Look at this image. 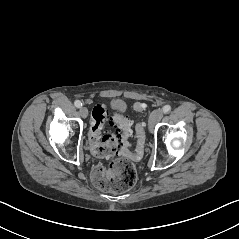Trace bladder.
<instances>
[{"label":"bladder","mask_w":239,"mask_h":239,"mask_svg":"<svg viewBox=\"0 0 239 239\" xmlns=\"http://www.w3.org/2000/svg\"><path fill=\"white\" fill-rule=\"evenodd\" d=\"M112 106L114 108H123L125 106V103L122 100H114L112 102Z\"/></svg>","instance_id":"bladder-1"}]
</instances>
